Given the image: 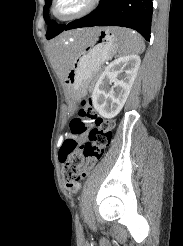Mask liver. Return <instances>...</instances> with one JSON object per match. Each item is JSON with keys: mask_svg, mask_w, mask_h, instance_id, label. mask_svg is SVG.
Wrapping results in <instances>:
<instances>
[{"mask_svg": "<svg viewBox=\"0 0 183 246\" xmlns=\"http://www.w3.org/2000/svg\"><path fill=\"white\" fill-rule=\"evenodd\" d=\"M97 30L98 28L75 30L64 34L51 43V56L62 80L66 78L72 65V56L66 51L64 41L67 37H76L83 41H87L92 39Z\"/></svg>", "mask_w": 183, "mask_h": 246, "instance_id": "obj_1", "label": "liver"}]
</instances>
